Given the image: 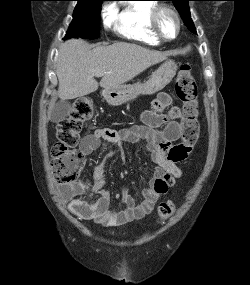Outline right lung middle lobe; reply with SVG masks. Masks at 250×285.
Segmentation results:
<instances>
[{"label": "right lung middle lobe", "instance_id": "dd1d6c3e", "mask_svg": "<svg viewBox=\"0 0 250 285\" xmlns=\"http://www.w3.org/2000/svg\"><path fill=\"white\" fill-rule=\"evenodd\" d=\"M78 4L66 38L81 37L97 39L100 36V10L105 0H75Z\"/></svg>", "mask_w": 250, "mask_h": 285}]
</instances>
